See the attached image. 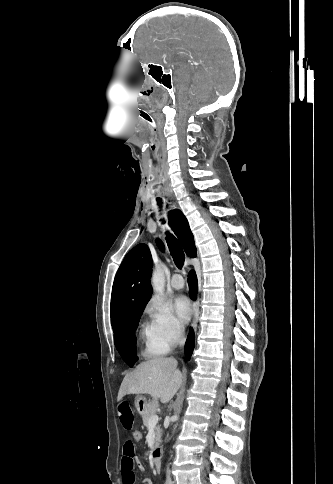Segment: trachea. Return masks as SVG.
<instances>
[{"label":"trachea","mask_w":333,"mask_h":484,"mask_svg":"<svg viewBox=\"0 0 333 484\" xmlns=\"http://www.w3.org/2000/svg\"><path fill=\"white\" fill-rule=\"evenodd\" d=\"M146 120L150 121L151 122V118L147 115V117H144ZM156 138L158 139V142H157V146H156V153L157 154H164L165 153V144L163 142V133L162 132H157L156 133ZM158 201V204L161 203V200L160 199H157ZM167 244H168V247H169V251H170V254L174 260V263L175 265L179 268V269H182V267L184 266V262H185V254H184V251L182 249V246L180 245V243L178 242V240L172 235V234H168L167 237Z\"/></svg>","instance_id":"trachea-1"}]
</instances>
